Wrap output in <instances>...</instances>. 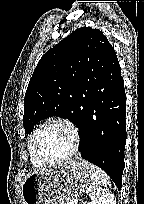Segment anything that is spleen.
Masks as SVG:
<instances>
[{
  "label": "spleen",
  "instance_id": "1",
  "mask_svg": "<svg viewBox=\"0 0 144 204\" xmlns=\"http://www.w3.org/2000/svg\"><path fill=\"white\" fill-rule=\"evenodd\" d=\"M91 184L87 189V193L91 200L102 198L109 190L110 180L108 175L99 167L90 165Z\"/></svg>",
  "mask_w": 144,
  "mask_h": 204
}]
</instances>
